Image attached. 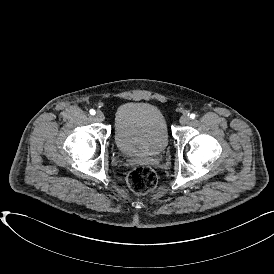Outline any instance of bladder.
<instances>
[{"label": "bladder", "mask_w": 274, "mask_h": 274, "mask_svg": "<svg viewBox=\"0 0 274 274\" xmlns=\"http://www.w3.org/2000/svg\"><path fill=\"white\" fill-rule=\"evenodd\" d=\"M113 125L115 145L125 155H156L163 152L169 144L166 117L153 103H123L114 114Z\"/></svg>", "instance_id": "bladder-1"}]
</instances>
